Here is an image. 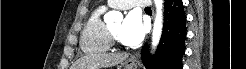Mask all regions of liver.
<instances>
[{
    "label": "liver",
    "mask_w": 246,
    "mask_h": 69,
    "mask_svg": "<svg viewBox=\"0 0 246 69\" xmlns=\"http://www.w3.org/2000/svg\"><path fill=\"white\" fill-rule=\"evenodd\" d=\"M127 57L128 55L123 53L88 55L80 58L73 69H101L112 67L122 63Z\"/></svg>",
    "instance_id": "1"
}]
</instances>
